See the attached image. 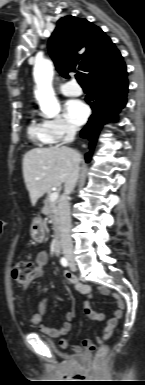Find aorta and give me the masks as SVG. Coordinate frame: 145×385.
I'll list each match as a JSON object with an SVG mask.
<instances>
[{
  "label": "aorta",
  "mask_w": 145,
  "mask_h": 385,
  "mask_svg": "<svg viewBox=\"0 0 145 385\" xmlns=\"http://www.w3.org/2000/svg\"><path fill=\"white\" fill-rule=\"evenodd\" d=\"M53 75L54 70L50 60L44 59L35 64L33 70L36 84L35 98L43 114L49 118L59 114L61 109L52 86Z\"/></svg>",
  "instance_id": "762f6f07"
}]
</instances>
